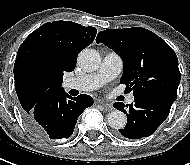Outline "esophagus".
Returning a JSON list of instances; mask_svg holds the SVG:
<instances>
[{
	"label": "esophagus",
	"mask_w": 190,
	"mask_h": 165,
	"mask_svg": "<svg viewBox=\"0 0 190 165\" xmlns=\"http://www.w3.org/2000/svg\"><path fill=\"white\" fill-rule=\"evenodd\" d=\"M98 103H99L100 105H102V106L104 107V109H105L106 111H108V112L113 110V106H112L110 103L103 102V101H101V100H99Z\"/></svg>",
	"instance_id": "1"
}]
</instances>
